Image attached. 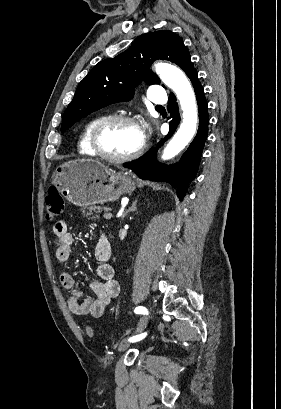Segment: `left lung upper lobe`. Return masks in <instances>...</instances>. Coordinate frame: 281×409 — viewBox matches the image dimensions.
<instances>
[{"mask_svg": "<svg viewBox=\"0 0 281 409\" xmlns=\"http://www.w3.org/2000/svg\"><path fill=\"white\" fill-rule=\"evenodd\" d=\"M156 59L176 63L188 77L195 70L178 35L170 30L145 35L115 58L99 62L79 83L63 115L61 132L93 111L131 99L134 87L142 80L148 84H159L160 79L149 69Z\"/></svg>", "mask_w": 281, "mask_h": 409, "instance_id": "obj_1", "label": "left lung upper lobe"}]
</instances>
